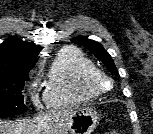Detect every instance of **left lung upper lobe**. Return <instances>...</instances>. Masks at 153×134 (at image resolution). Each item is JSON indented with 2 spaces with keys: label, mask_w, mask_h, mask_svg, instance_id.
Returning <instances> with one entry per match:
<instances>
[{
  "label": "left lung upper lobe",
  "mask_w": 153,
  "mask_h": 134,
  "mask_svg": "<svg viewBox=\"0 0 153 134\" xmlns=\"http://www.w3.org/2000/svg\"><path fill=\"white\" fill-rule=\"evenodd\" d=\"M71 41L79 46L87 48L102 61V63L109 69L111 73L118 74V70L116 69L111 56L106 52L100 43L87 39L83 36L74 37L71 39Z\"/></svg>",
  "instance_id": "left-lung-upper-lobe-1"
}]
</instances>
